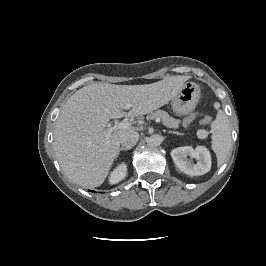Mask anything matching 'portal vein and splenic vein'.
Returning <instances> with one entry per match:
<instances>
[{"instance_id": "obj_1", "label": "portal vein and splenic vein", "mask_w": 266, "mask_h": 266, "mask_svg": "<svg viewBox=\"0 0 266 266\" xmlns=\"http://www.w3.org/2000/svg\"><path fill=\"white\" fill-rule=\"evenodd\" d=\"M131 108V104H127L126 106H125V109L126 110H128V109H130ZM156 122H160L161 120L159 119V118H156V120H155ZM131 122L130 121H128V120H123V121H121V122H117V123H115L113 126H108L107 128H106V137H109L110 136V134L112 133V132H114V131H116V130H120V129H127V128H129V127H131Z\"/></svg>"}]
</instances>
